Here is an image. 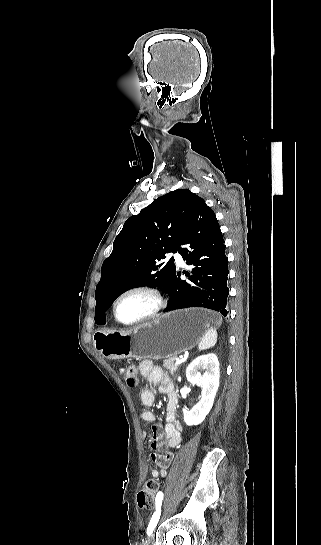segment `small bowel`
Masks as SVG:
<instances>
[{"mask_svg": "<svg viewBox=\"0 0 321 545\" xmlns=\"http://www.w3.org/2000/svg\"><path fill=\"white\" fill-rule=\"evenodd\" d=\"M139 370L146 383L158 384L159 392L167 396L165 425L162 429L155 415L148 409L155 401L154 390L146 386L140 394L141 403L144 406L142 418L151 424L150 436L143 432V438H149V447L153 451L151 459L156 464V468L151 470L150 475L153 479H157L166 476L167 468L174 457L169 449L176 447L182 438L181 425L175 413L178 396L168 374L162 368L155 366L152 361H142Z\"/></svg>", "mask_w": 321, "mask_h": 545, "instance_id": "c3829d8e", "label": "small bowel"}]
</instances>
